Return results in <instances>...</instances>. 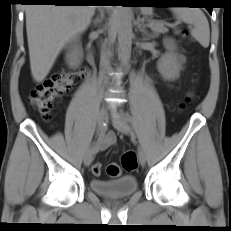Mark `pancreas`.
<instances>
[{
    "label": "pancreas",
    "instance_id": "obj_1",
    "mask_svg": "<svg viewBox=\"0 0 231 231\" xmlns=\"http://www.w3.org/2000/svg\"><path fill=\"white\" fill-rule=\"evenodd\" d=\"M165 22H160V21H154L151 20L149 21V27L151 28L152 31L156 33H166L168 29L165 27Z\"/></svg>",
    "mask_w": 231,
    "mask_h": 231
}]
</instances>
